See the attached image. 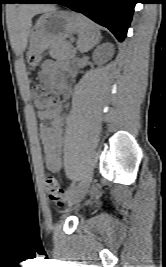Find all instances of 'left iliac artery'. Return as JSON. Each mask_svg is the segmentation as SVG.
<instances>
[{
	"label": "left iliac artery",
	"instance_id": "44dca946",
	"mask_svg": "<svg viewBox=\"0 0 166 267\" xmlns=\"http://www.w3.org/2000/svg\"><path fill=\"white\" fill-rule=\"evenodd\" d=\"M75 189V183H72L67 190L65 191V200H67V198L70 196V194L74 191Z\"/></svg>",
	"mask_w": 166,
	"mask_h": 267
}]
</instances>
